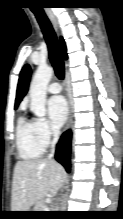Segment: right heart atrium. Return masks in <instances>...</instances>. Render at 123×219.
Listing matches in <instances>:
<instances>
[{
    "mask_svg": "<svg viewBox=\"0 0 123 219\" xmlns=\"http://www.w3.org/2000/svg\"><path fill=\"white\" fill-rule=\"evenodd\" d=\"M34 124L40 141L47 146L56 137L57 130L43 117L36 118Z\"/></svg>",
    "mask_w": 123,
    "mask_h": 219,
    "instance_id": "1",
    "label": "right heart atrium"
}]
</instances>
